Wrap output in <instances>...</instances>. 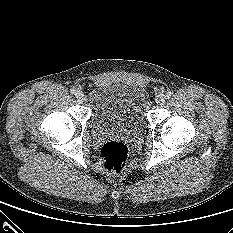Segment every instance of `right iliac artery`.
<instances>
[{"label":"right iliac artery","instance_id":"obj_1","mask_svg":"<svg viewBox=\"0 0 233 233\" xmlns=\"http://www.w3.org/2000/svg\"><path fill=\"white\" fill-rule=\"evenodd\" d=\"M70 92H71L72 94H75V93H76V89H75V88H71V89H70Z\"/></svg>","mask_w":233,"mask_h":233}]
</instances>
